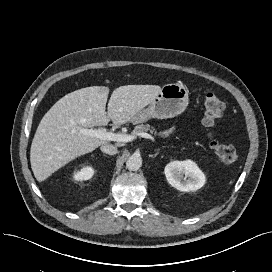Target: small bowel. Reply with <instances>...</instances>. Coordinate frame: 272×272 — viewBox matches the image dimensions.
Segmentation results:
<instances>
[{
    "label": "small bowel",
    "mask_w": 272,
    "mask_h": 272,
    "mask_svg": "<svg viewBox=\"0 0 272 272\" xmlns=\"http://www.w3.org/2000/svg\"><path fill=\"white\" fill-rule=\"evenodd\" d=\"M173 133V129H167V130H164L160 133V135L162 137H168L170 136L171 134Z\"/></svg>",
    "instance_id": "c3829d8e"
}]
</instances>
